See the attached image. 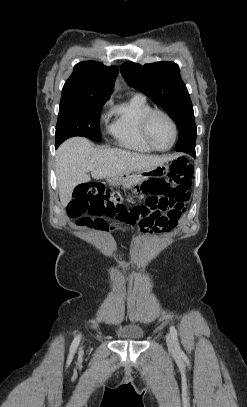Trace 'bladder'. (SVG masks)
I'll return each mask as SVG.
<instances>
[{
	"instance_id": "obj_1",
	"label": "bladder",
	"mask_w": 247,
	"mask_h": 407,
	"mask_svg": "<svg viewBox=\"0 0 247 407\" xmlns=\"http://www.w3.org/2000/svg\"><path fill=\"white\" fill-rule=\"evenodd\" d=\"M114 335L122 340L141 341L145 336V331L137 325L119 326L114 328Z\"/></svg>"
}]
</instances>
